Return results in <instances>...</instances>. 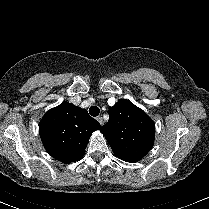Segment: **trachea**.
I'll use <instances>...</instances> for the list:
<instances>
[{
  "mask_svg": "<svg viewBox=\"0 0 209 209\" xmlns=\"http://www.w3.org/2000/svg\"><path fill=\"white\" fill-rule=\"evenodd\" d=\"M89 113L91 116L96 117L100 113V109L97 106H92L89 108Z\"/></svg>",
  "mask_w": 209,
  "mask_h": 209,
  "instance_id": "obj_1",
  "label": "trachea"
}]
</instances>
